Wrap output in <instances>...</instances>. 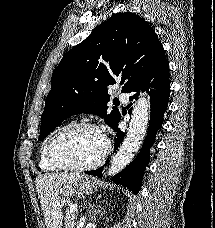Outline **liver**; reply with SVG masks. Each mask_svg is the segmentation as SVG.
<instances>
[{
  "label": "liver",
  "instance_id": "liver-1",
  "mask_svg": "<svg viewBox=\"0 0 215 228\" xmlns=\"http://www.w3.org/2000/svg\"><path fill=\"white\" fill-rule=\"evenodd\" d=\"M83 176L70 174H42L36 178L35 186L40 200L46 228H60L62 210L60 206L63 186L79 182Z\"/></svg>",
  "mask_w": 215,
  "mask_h": 228
}]
</instances>
